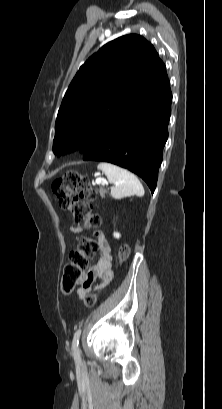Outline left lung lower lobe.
Returning a JSON list of instances; mask_svg holds the SVG:
<instances>
[{
	"mask_svg": "<svg viewBox=\"0 0 222 409\" xmlns=\"http://www.w3.org/2000/svg\"><path fill=\"white\" fill-rule=\"evenodd\" d=\"M171 101L167 78L147 95L124 105L98 133L83 159L126 168L140 176L153 193L168 138Z\"/></svg>",
	"mask_w": 222,
	"mask_h": 409,
	"instance_id": "left-lung-lower-lobe-1",
	"label": "left lung lower lobe"
}]
</instances>
